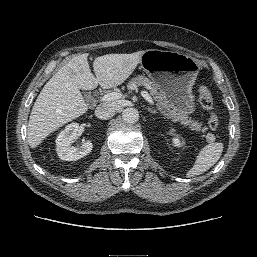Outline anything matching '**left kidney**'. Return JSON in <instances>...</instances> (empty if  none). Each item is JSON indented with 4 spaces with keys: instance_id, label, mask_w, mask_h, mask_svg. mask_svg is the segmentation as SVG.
I'll return each instance as SVG.
<instances>
[{
    "instance_id": "left-kidney-1",
    "label": "left kidney",
    "mask_w": 257,
    "mask_h": 257,
    "mask_svg": "<svg viewBox=\"0 0 257 257\" xmlns=\"http://www.w3.org/2000/svg\"><path fill=\"white\" fill-rule=\"evenodd\" d=\"M171 132H174V129H171ZM173 143H174V145L177 146V147H180V146L182 145L180 139L177 138V137H174V138H173Z\"/></svg>"
}]
</instances>
